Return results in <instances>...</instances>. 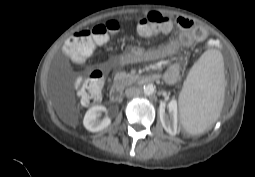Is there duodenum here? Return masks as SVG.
Instances as JSON below:
<instances>
[{"mask_svg": "<svg viewBox=\"0 0 255 177\" xmlns=\"http://www.w3.org/2000/svg\"><path fill=\"white\" fill-rule=\"evenodd\" d=\"M160 76L157 73L145 74L138 78L140 84H150L155 83L159 80ZM110 98L114 102H119L122 98V88L115 84L110 90Z\"/></svg>", "mask_w": 255, "mask_h": 177, "instance_id": "410a0bca", "label": "duodenum"}]
</instances>
